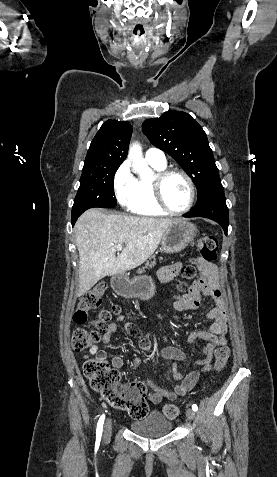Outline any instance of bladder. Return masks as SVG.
<instances>
[{
	"label": "bladder",
	"instance_id": "bladder-1",
	"mask_svg": "<svg viewBox=\"0 0 277 477\" xmlns=\"http://www.w3.org/2000/svg\"><path fill=\"white\" fill-rule=\"evenodd\" d=\"M129 427L141 436L159 437L170 433L173 429V423L161 413L151 412L140 420L132 421Z\"/></svg>",
	"mask_w": 277,
	"mask_h": 477
}]
</instances>
